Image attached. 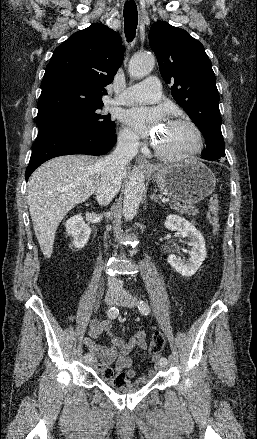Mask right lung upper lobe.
I'll return each instance as SVG.
<instances>
[{"mask_svg": "<svg viewBox=\"0 0 257 439\" xmlns=\"http://www.w3.org/2000/svg\"><path fill=\"white\" fill-rule=\"evenodd\" d=\"M123 58L121 37L102 23L74 33L46 66L37 120L103 104Z\"/></svg>", "mask_w": 257, "mask_h": 439, "instance_id": "cb5924a9", "label": "right lung upper lobe"}]
</instances>
